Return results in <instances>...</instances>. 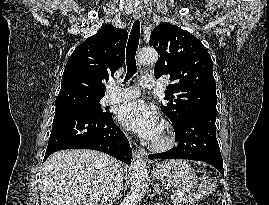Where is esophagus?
I'll return each instance as SVG.
<instances>
[{
  "mask_svg": "<svg viewBox=\"0 0 269 205\" xmlns=\"http://www.w3.org/2000/svg\"><path fill=\"white\" fill-rule=\"evenodd\" d=\"M143 16V11L141 7H135L134 8V17L136 19H140ZM138 155L140 157H145L147 155L146 151L143 148L138 149Z\"/></svg>",
  "mask_w": 269,
  "mask_h": 205,
  "instance_id": "34e87169",
  "label": "esophagus"
}]
</instances>
